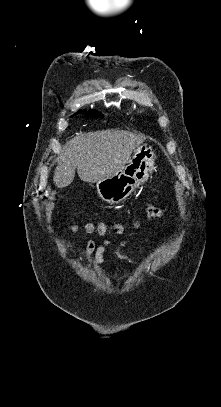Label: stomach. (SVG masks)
<instances>
[{
    "label": "stomach",
    "instance_id": "stomach-1",
    "mask_svg": "<svg viewBox=\"0 0 221 407\" xmlns=\"http://www.w3.org/2000/svg\"><path fill=\"white\" fill-rule=\"evenodd\" d=\"M155 159L156 155L151 145H138L120 170L96 182L98 196L110 204H118L125 200L148 180L154 169Z\"/></svg>",
    "mask_w": 221,
    "mask_h": 407
}]
</instances>
